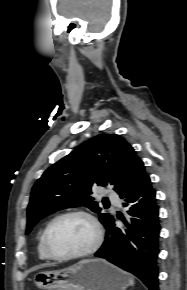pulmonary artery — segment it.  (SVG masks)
<instances>
[{
    "label": "pulmonary artery",
    "instance_id": "pulmonary-artery-1",
    "mask_svg": "<svg viewBox=\"0 0 187 290\" xmlns=\"http://www.w3.org/2000/svg\"><path fill=\"white\" fill-rule=\"evenodd\" d=\"M107 197H108L111 201H113V202H115L116 204H118V202H117V194H116L115 192H113V191H107Z\"/></svg>",
    "mask_w": 187,
    "mask_h": 290
}]
</instances>
